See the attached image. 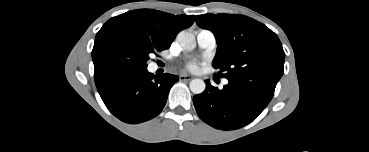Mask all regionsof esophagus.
Wrapping results in <instances>:
<instances>
[{
  "mask_svg": "<svg viewBox=\"0 0 369 152\" xmlns=\"http://www.w3.org/2000/svg\"><path fill=\"white\" fill-rule=\"evenodd\" d=\"M180 80L181 81H190L192 79V77L190 75H187V74H181L179 76Z\"/></svg>",
  "mask_w": 369,
  "mask_h": 152,
  "instance_id": "esophagus-1",
  "label": "esophagus"
}]
</instances>
